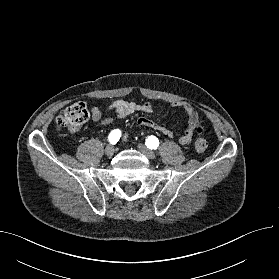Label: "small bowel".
<instances>
[{
    "label": "small bowel",
    "instance_id": "c3829d8e",
    "mask_svg": "<svg viewBox=\"0 0 279 279\" xmlns=\"http://www.w3.org/2000/svg\"><path fill=\"white\" fill-rule=\"evenodd\" d=\"M172 107L183 110L187 116V127L182 135L177 139L182 145L189 144L202 120L199 117L197 109L188 102L185 101H174L171 103ZM108 111L113 113V116L104 117L102 111L98 107L91 109V118L96 125L105 126L113 123L115 119L125 118L135 112H144L152 114L155 111V106L152 102L137 103L126 100H115L108 106ZM137 126H143L151 128L159 133H162L170 138H174V134L167 127L154 122L148 118L141 117L136 122ZM127 137L125 136L124 139Z\"/></svg>",
    "mask_w": 279,
    "mask_h": 279
}]
</instances>
